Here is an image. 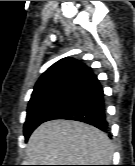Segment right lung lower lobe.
I'll list each match as a JSON object with an SVG mask.
<instances>
[{"instance_id":"obj_1","label":"right lung lower lobe","mask_w":135,"mask_h":166,"mask_svg":"<svg viewBox=\"0 0 135 166\" xmlns=\"http://www.w3.org/2000/svg\"><path fill=\"white\" fill-rule=\"evenodd\" d=\"M67 87L72 95L71 101L55 119L81 121L108 132L104 94L97 77L91 73Z\"/></svg>"}]
</instances>
